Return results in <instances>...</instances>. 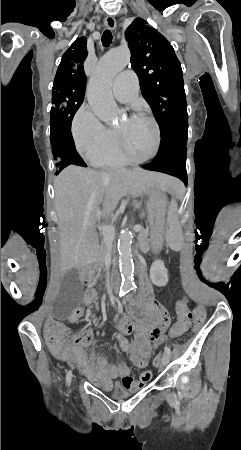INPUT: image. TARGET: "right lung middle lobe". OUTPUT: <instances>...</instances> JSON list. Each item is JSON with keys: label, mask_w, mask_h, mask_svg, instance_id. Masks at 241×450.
Wrapping results in <instances>:
<instances>
[{"label": "right lung middle lobe", "mask_w": 241, "mask_h": 450, "mask_svg": "<svg viewBox=\"0 0 241 450\" xmlns=\"http://www.w3.org/2000/svg\"><path fill=\"white\" fill-rule=\"evenodd\" d=\"M85 88L67 83H54L50 116L53 159L57 174L67 167L65 147L73 144L71 121L84 100Z\"/></svg>", "instance_id": "1"}]
</instances>
